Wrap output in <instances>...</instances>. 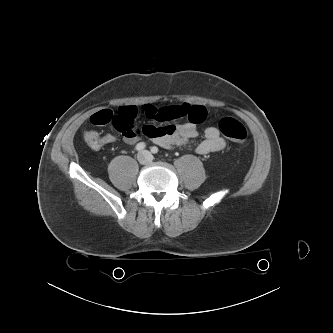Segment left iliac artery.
Wrapping results in <instances>:
<instances>
[{"label": "left iliac artery", "instance_id": "obj_1", "mask_svg": "<svg viewBox=\"0 0 333 333\" xmlns=\"http://www.w3.org/2000/svg\"><path fill=\"white\" fill-rule=\"evenodd\" d=\"M158 151H159V149H158V147H156V146H153V147L151 148V152H152L153 154H157Z\"/></svg>", "mask_w": 333, "mask_h": 333}]
</instances>
